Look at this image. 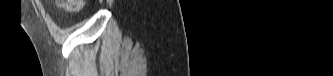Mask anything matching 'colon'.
<instances>
[{"instance_id":"colon-1","label":"colon","mask_w":333,"mask_h":76,"mask_svg":"<svg viewBox=\"0 0 333 76\" xmlns=\"http://www.w3.org/2000/svg\"><path fill=\"white\" fill-rule=\"evenodd\" d=\"M84 3V0H57L58 7L67 11L80 10Z\"/></svg>"}]
</instances>
